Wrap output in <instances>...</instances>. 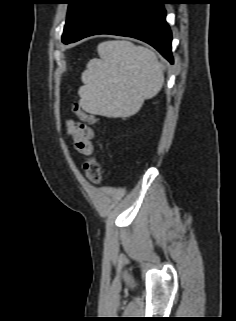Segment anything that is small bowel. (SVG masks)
<instances>
[{"label": "small bowel", "instance_id": "c3829d8e", "mask_svg": "<svg viewBox=\"0 0 236 321\" xmlns=\"http://www.w3.org/2000/svg\"><path fill=\"white\" fill-rule=\"evenodd\" d=\"M83 121L82 119H80ZM68 136L72 139L76 151L89 154L92 151L93 130L83 122L68 120L66 122Z\"/></svg>", "mask_w": 236, "mask_h": 321}]
</instances>
